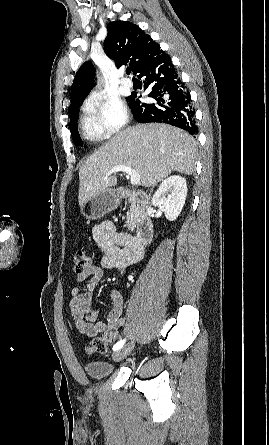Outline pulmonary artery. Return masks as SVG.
Segmentation results:
<instances>
[{
    "instance_id": "obj_1",
    "label": "pulmonary artery",
    "mask_w": 269,
    "mask_h": 445,
    "mask_svg": "<svg viewBox=\"0 0 269 445\" xmlns=\"http://www.w3.org/2000/svg\"><path fill=\"white\" fill-rule=\"evenodd\" d=\"M121 84H122V86H124L126 88H129V87L132 86V81L129 78H127V77H123L121 79Z\"/></svg>"
}]
</instances>
